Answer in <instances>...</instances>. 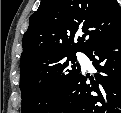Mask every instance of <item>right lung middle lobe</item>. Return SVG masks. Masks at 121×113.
<instances>
[{
  "instance_id": "1",
  "label": "right lung middle lobe",
  "mask_w": 121,
  "mask_h": 113,
  "mask_svg": "<svg viewBox=\"0 0 121 113\" xmlns=\"http://www.w3.org/2000/svg\"><path fill=\"white\" fill-rule=\"evenodd\" d=\"M75 62L76 52H58L21 67L22 113L50 112L65 93L68 81L81 71Z\"/></svg>"
}]
</instances>
